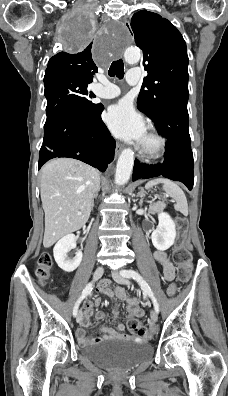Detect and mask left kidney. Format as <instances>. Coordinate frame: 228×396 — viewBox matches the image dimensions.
<instances>
[{
	"label": "left kidney",
	"instance_id": "1",
	"mask_svg": "<svg viewBox=\"0 0 228 396\" xmlns=\"http://www.w3.org/2000/svg\"><path fill=\"white\" fill-rule=\"evenodd\" d=\"M158 220V227L152 232L151 239L156 249L164 251L169 249L175 242V223L170 215L165 212H161L158 215Z\"/></svg>",
	"mask_w": 228,
	"mask_h": 396
}]
</instances>
